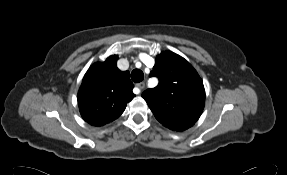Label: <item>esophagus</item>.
I'll return each mask as SVG.
<instances>
[{"mask_svg":"<svg viewBox=\"0 0 287 175\" xmlns=\"http://www.w3.org/2000/svg\"><path fill=\"white\" fill-rule=\"evenodd\" d=\"M136 87L141 91L145 88V83L144 82L138 83L136 84Z\"/></svg>","mask_w":287,"mask_h":175,"instance_id":"1","label":"esophagus"}]
</instances>
